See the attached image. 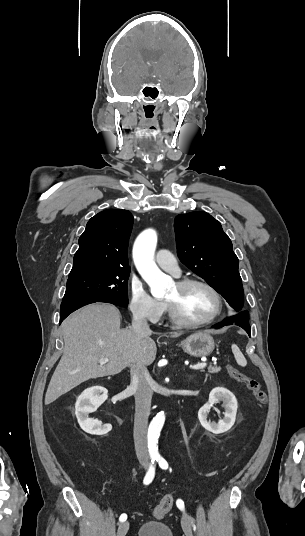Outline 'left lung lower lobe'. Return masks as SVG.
I'll list each match as a JSON object with an SVG mask.
<instances>
[{
  "label": "left lung lower lobe",
  "instance_id": "1",
  "mask_svg": "<svg viewBox=\"0 0 305 536\" xmlns=\"http://www.w3.org/2000/svg\"><path fill=\"white\" fill-rule=\"evenodd\" d=\"M232 320H236V321H235L236 324H237L238 326L242 327V328L248 333V335L250 336V334H251V327H250L249 322H248V321H249V314H248L247 311H243V312L239 313V314L236 315V316H233V317H231V318H228V319H226L225 322L220 323V324H216V325H214L213 327H214V328H221V327H223V326H225V325H229V324H231V321H232Z\"/></svg>",
  "mask_w": 305,
  "mask_h": 536
}]
</instances>
